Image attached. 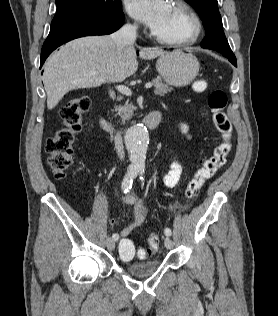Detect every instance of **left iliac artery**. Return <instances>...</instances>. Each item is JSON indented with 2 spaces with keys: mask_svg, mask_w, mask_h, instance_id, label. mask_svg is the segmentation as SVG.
<instances>
[{
  "mask_svg": "<svg viewBox=\"0 0 278 316\" xmlns=\"http://www.w3.org/2000/svg\"><path fill=\"white\" fill-rule=\"evenodd\" d=\"M144 172L143 168H140L139 173H140V180H143L142 174ZM164 233L166 236H171L172 232L170 228H165Z\"/></svg>",
  "mask_w": 278,
  "mask_h": 316,
  "instance_id": "1",
  "label": "left iliac artery"
}]
</instances>
